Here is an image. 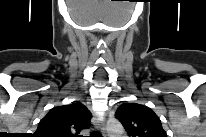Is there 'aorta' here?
Segmentation results:
<instances>
[{
  "label": "aorta",
  "instance_id": "aorta-1",
  "mask_svg": "<svg viewBox=\"0 0 206 137\" xmlns=\"http://www.w3.org/2000/svg\"><path fill=\"white\" fill-rule=\"evenodd\" d=\"M107 131L110 137H119L123 134L124 128L121 123L114 122L108 124Z\"/></svg>",
  "mask_w": 206,
  "mask_h": 137
}]
</instances>
